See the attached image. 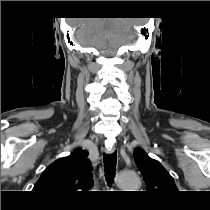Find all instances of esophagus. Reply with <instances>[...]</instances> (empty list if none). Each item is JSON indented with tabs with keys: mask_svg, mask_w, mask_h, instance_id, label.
<instances>
[{
	"mask_svg": "<svg viewBox=\"0 0 210 210\" xmlns=\"http://www.w3.org/2000/svg\"><path fill=\"white\" fill-rule=\"evenodd\" d=\"M115 151V147L112 144L109 143H104L102 146V152L104 154H108V153H113Z\"/></svg>",
	"mask_w": 210,
	"mask_h": 210,
	"instance_id": "1",
	"label": "esophagus"
}]
</instances>
